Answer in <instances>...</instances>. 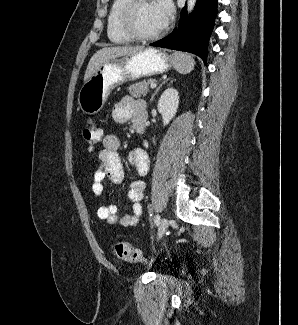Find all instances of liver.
<instances>
[{
	"instance_id": "6515ba94",
	"label": "liver",
	"mask_w": 298,
	"mask_h": 325,
	"mask_svg": "<svg viewBox=\"0 0 298 325\" xmlns=\"http://www.w3.org/2000/svg\"><path fill=\"white\" fill-rule=\"evenodd\" d=\"M144 46H130V44H125V46H104V48H99L91 56L86 70L83 76V82H86L92 74H95L99 70V66L107 60H112V58H120L123 54H134L138 50H143Z\"/></svg>"
}]
</instances>
